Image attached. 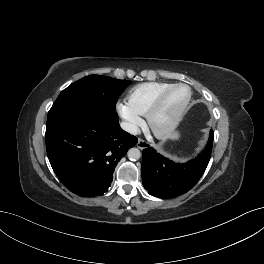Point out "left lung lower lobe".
<instances>
[{
    "label": "left lung lower lobe",
    "instance_id": "obj_1",
    "mask_svg": "<svg viewBox=\"0 0 264 264\" xmlns=\"http://www.w3.org/2000/svg\"><path fill=\"white\" fill-rule=\"evenodd\" d=\"M213 131L206 148L194 159L177 164L152 147L142 153V183L148 193L158 198H173L189 191L203 175L212 151Z\"/></svg>",
    "mask_w": 264,
    "mask_h": 264
}]
</instances>
